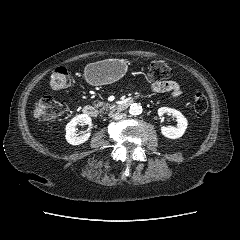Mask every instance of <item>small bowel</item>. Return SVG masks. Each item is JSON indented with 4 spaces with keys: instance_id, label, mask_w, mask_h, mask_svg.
Returning a JSON list of instances; mask_svg holds the SVG:
<instances>
[{
    "instance_id": "obj_1",
    "label": "small bowel",
    "mask_w": 240,
    "mask_h": 240,
    "mask_svg": "<svg viewBox=\"0 0 240 240\" xmlns=\"http://www.w3.org/2000/svg\"><path fill=\"white\" fill-rule=\"evenodd\" d=\"M149 90L154 94L169 93L173 98L183 95L180 85L173 80L155 81L151 83Z\"/></svg>"
}]
</instances>
